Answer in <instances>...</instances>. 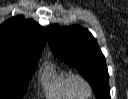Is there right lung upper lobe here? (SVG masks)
<instances>
[{"label": "right lung upper lobe", "mask_w": 128, "mask_h": 99, "mask_svg": "<svg viewBox=\"0 0 128 99\" xmlns=\"http://www.w3.org/2000/svg\"><path fill=\"white\" fill-rule=\"evenodd\" d=\"M45 43V28L21 15L0 26V56H40Z\"/></svg>", "instance_id": "right-lung-upper-lobe-1"}]
</instances>
